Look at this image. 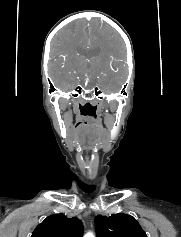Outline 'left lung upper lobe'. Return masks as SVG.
Listing matches in <instances>:
<instances>
[{
	"mask_svg": "<svg viewBox=\"0 0 181 237\" xmlns=\"http://www.w3.org/2000/svg\"><path fill=\"white\" fill-rule=\"evenodd\" d=\"M97 237H147L137 220L128 214L95 217Z\"/></svg>",
	"mask_w": 181,
	"mask_h": 237,
	"instance_id": "obj_1",
	"label": "left lung upper lobe"
}]
</instances>
